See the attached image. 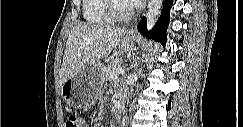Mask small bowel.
Masks as SVG:
<instances>
[{
  "label": "small bowel",
  "instance_id": "c3829d8e",
  "mask_svg": "<svg viewBox=\"0 0 243 127\" xmlns=\"http://www.w3.org/2000/svg\"><path fill=\"white\" fill-rule=\"evenodd\" d=\"M88 125L85 123V122H83V127H87Z\"/></svg>",
  "mask_w": 243,
  "mask_h": 127
}]
</instances>
